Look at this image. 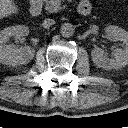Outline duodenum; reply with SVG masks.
I'll use <instances>...</instances> for the list:
<instances>
[{"label":"duodenum","instance_id":"1","mask_svg":"<svg viewBox=\"0 0 128 128\" xmlns=\"http://www.w3.org/2000/svg\"><path fill=\"white\" fill-rule=\"evenodd\" d=\"M91 11L90 4L82 1L78 6V12L81 15H88ZM42 12V0H30V14L33 17H37Z\"/></svg>","mask_w":128,"mask_h":128}]
</instances>
